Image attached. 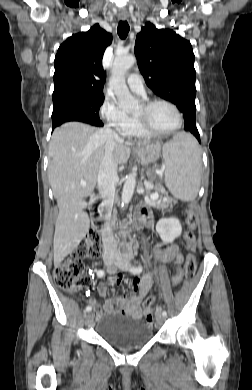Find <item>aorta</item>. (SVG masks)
Segmentation results:
<instances>
[{"instance_id":"obj_1","label":"aorta","mask_w":252,"mask_h":390,"mask_svg":"<svg viewBox=\"0 0 252 390\" xmlns=\"http://www.w3.org/2000/svg\"><path fill=\"white\" fill-rule=\"evenodd\" d=\"M136 59L133 55L116 56L109 80V87L117 97L118 105L126 112L135 111L138 107V101L131 95L126 85L125 74L134 65ZM136 186V175L129 174L123 185L121 201L122 206L127 205L134 194Z\"/></svg>"}]
</instances>
